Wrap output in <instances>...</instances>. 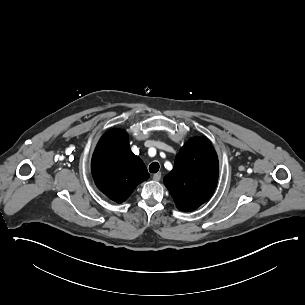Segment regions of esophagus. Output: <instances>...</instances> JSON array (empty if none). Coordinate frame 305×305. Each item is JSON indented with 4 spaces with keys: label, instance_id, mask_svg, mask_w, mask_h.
<instances>
[{
    "label": "esophagus",
    "instance_id": "34e87169",
    "mask_svg": "<svg viewBox=\"0 0 305 305\" xmlns=\"http://www.w3.org/2000/svg\"><path fill=\"white\" fill-rule=\"evenodd\" d=\"M161 176H162L161 172L155 173L153 175V180L154 181H159L161 179Z\"/></svg>",
    "mask_w": 305,
    "mask_h": 305
}]
</instances>
